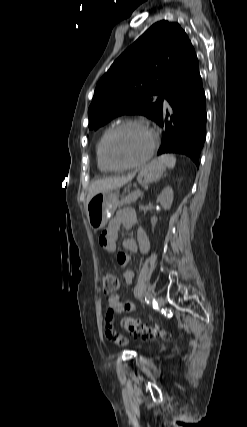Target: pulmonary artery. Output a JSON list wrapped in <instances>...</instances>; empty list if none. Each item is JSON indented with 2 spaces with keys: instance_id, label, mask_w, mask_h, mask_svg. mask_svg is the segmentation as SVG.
<instances>
[{
  "instance_id": "1",
  "label": "pulmonary artery",
  "mask_w": 247,
  "mask_h": 427,
  "mask_svg": "<svg viewBox=\"0 0 247 427\" xmlns=\"http://www.w3.org/2000/svg\"><path fill=\"white\" fill-rule=\"evenodd\" d=\"M164 105L167 106V107L169 106L167 100H164Z\"/></svg>"
}]
</instances>
